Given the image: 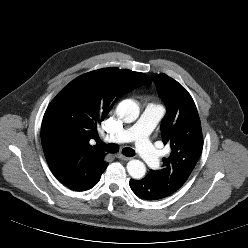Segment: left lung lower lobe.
I'll list each match as a JSON object with an SVG mask.
<instances>
[{
	"label": "left lung lower lobe",
	"mask_w": 248,
	"mask_h": 248,
	"mask_svg": "<svg viewBox=\"0 0 248 248\" xmlns=\"http://www.w3.org/2000/svg\"><path fill=\"white\" fill-rule=\"evenodd\" d=\"M130 188L141 199L144 200H159L170 196L166 190L152 181L147 175L141 180H130Z\"/></svg>",
	"instance_id": "1"
}]
</instances>
